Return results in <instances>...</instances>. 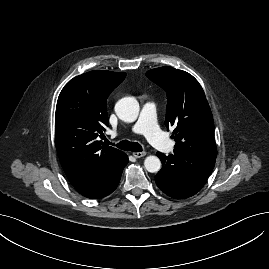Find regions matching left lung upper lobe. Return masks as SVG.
Wrapping results in <instances>:
<instances>
[{
    "label": "left lung upper lobe",
    "mask_w": 269,
    "mask_h": 269,
    "mask_svg": "<svg viewBox=\"0 0 269 269\" xmlns=\"http://www.w3.org/2000/svg\"><path fill=\"white\" fill-rule=\"evenodd\" d=\"M146 76L167 92L165 124L174 126L175 149L216 158L214 121L204 91L189 73L172 67L147 71Z\"/></svg>",
    "instance_id": "5c2ea615"
}]
</instances>
